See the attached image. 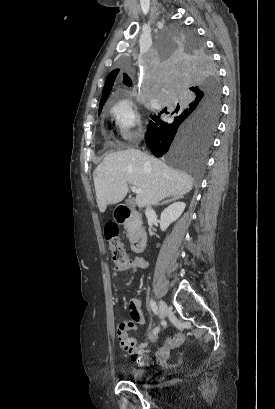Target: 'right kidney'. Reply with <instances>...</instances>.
<instances>
[{"label": "right kidney", "instance_id": "1", "mask_svg": "<svg viewBox=\"0 0 275 409\" xmlns=\"http://www.w3.org/2000/svg\"><path fill=\"white\" fill-rule=\"evenodd\" d=\"M185 207H186L185 202H173V205L167 207V209H165V211L161 213L160 217L161 231H166L170 223H173V221H177L180 215H182Z\"/></svg>", "mask_w": 275, "mask_h": 409}]
</instances>
